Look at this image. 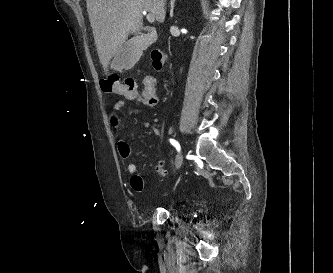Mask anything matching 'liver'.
I'll list each match as a JSON object with an SVG mask.
<instances>
[{
	"mask_svg": "<svg viewBox=\"0 0 333 273\" xmlns=\"http://www.w3.org/2000/svg\"><path fill=\"white\" fill-rule=\"evenodd\" d=\"M165 0H86L98 56L105 74L129 34L143 36V12L165 20Z\"/></svg>",
	"mask_w": 333,
	"mask_h": 273,
	"instance_id": "1",
	"label": "liver"
}]
</instances>
